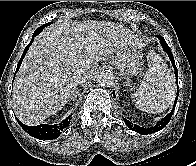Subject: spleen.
<instances>
[{
  "label": "spleen",
  "instance_id": "3e777b00",
  "mask_svg": "<svg viewBox=\"0 0 196 166\" xmlns=\"http://www.w3.org/2000/svg\"><path fill=\"white\" fill-rule=\"evenodd\" d=\"M148 69L144 80L132 98L140 110L160 113L171 106L175 98L176 85L173 75L159 54L148 53Z\"/></svg>",
  "mask_w": 196,
  "mask_h": 166
}]
</instances>
